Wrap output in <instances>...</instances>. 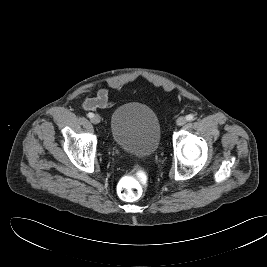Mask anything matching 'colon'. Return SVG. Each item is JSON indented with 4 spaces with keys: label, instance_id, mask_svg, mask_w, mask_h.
Masks as SVG:
<instances>
[{
    "label": "colon",
    "instance_id": "obj_1",
    "mask_svg": "<svg viewBox=\"0 0 267 267\" xmlns=\"http://www.w3.org/2000/svg\"><path fill=\"white\" fill-rule=\"evenodd\" d=\"M146 182V175L140 170L124 176L118 188L120 197L126 201L139 199L144 192Z\"/></svg>",
    "mask_w": 267,
    "mask_h": 267
}]
</instances>
